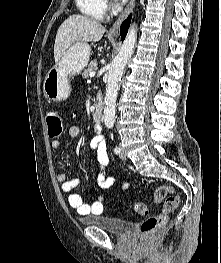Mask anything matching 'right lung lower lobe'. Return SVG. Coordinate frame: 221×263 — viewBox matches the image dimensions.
I'll list each match as a JSON object with an SVG mask.
<instances>
[{"mask_svg":"<svg viewBox=\"0 0 221 263\" xmlns=\"http://www.w3.org/2000/svg\"><path fill=\"white\" fill-rule=\"evenodd\" d=\"M131 22V15L122 23L120 27V35H121V40L123 41L125 39V36L127 34L129 25Z\"/></svg>","mask_w":221,"mask_h":263,"instance_id":"98d812e1","label":"right lung lower lobe"}]
</instances>
